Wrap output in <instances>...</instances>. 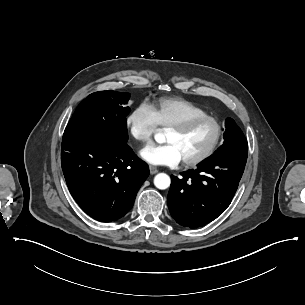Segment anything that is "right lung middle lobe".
Masks as SVG:
<instances>
[{
    "label": "right lung middle lobe",
    "mask_w": 305,
    "mask_h": 305,
    "mask_svg": "<svg viewBox=\"0 0 305 305\" xmlns=\"http://www.w3.org/2000/svg\"><path fill=\"white\" fill-rule=\"evenodd\" d=\"M129 93L100 91L90 94L75 110L63 134L62 142L93 140L104 144H126L128 141L125 107Z\"/></svg>",
    "instance_id": "right-lung-middle-lobe-1"
}]
</instances>
